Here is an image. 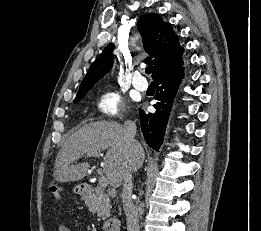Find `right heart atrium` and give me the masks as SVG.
<instances>
[{
	"label": "right heart atrium",
	"mask_w": 261,
	"mask_h": 231,
	"mask_svg": "<svg viewBox=\"0 0 261 231\" xmlns=\"http://www.w3.org/2000/svg\"><path fill=\"white\" fill-rule=\"evenodd\" d=\"M95 107L101 116L112 118L122 114L124 101L116 90H106L98 95Z\"/></svg>",
	"instance_id": "1"
}]
</instances>
